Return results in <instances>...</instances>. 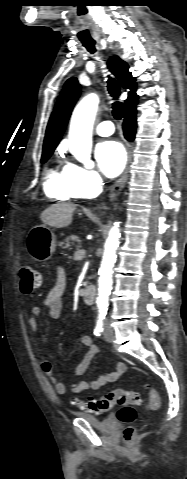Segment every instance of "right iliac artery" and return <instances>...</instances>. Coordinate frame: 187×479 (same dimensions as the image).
I'll list each match as a JSON object with an SVG mask.
<instances>
[{"mask_svg":"<svg viewBox=\"0 0 187 479\" xmlns=\"http://www.w3.org/2000/svg\"><path fill=\"white\" fill-rule=\"evenodd\" d=\"M103 319H104V317L101 316L97 320V323H96V326H95V329H94V334L96 336H100V334L103 332Z\"/></svg>","mask_w":187,"mask_h":479,"instance_id":"1","label":"right iliac artery"}]
</instances>
